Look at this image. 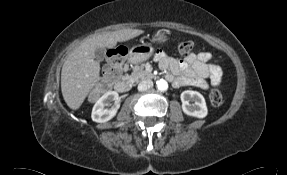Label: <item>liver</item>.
<instances>
[{
  "instance_id": "liver-1",
  "label": "liver",
  "mask_w": 287,
  "mask_h": 175,
  "mask_svg": "<svg viewBox=\"0 0 287 175\" xmlns=\"http://www.w3.org/2000/svg\"><path fill=\"white\" fill-rule=\"evenodd\" d=\"M138 29H122L93 35L85 39L66 58L61 71V91L66 104L77 110L100 81V64L95 60L97 48H114L141 35Z\"/></svg>"
}]
</instances>
